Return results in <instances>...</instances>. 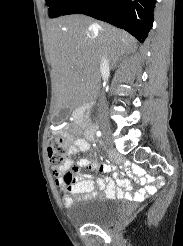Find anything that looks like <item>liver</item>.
<instances>
[{"label":"liver","mask_w":183,"mask_h":246,"mask_svg":"<svg viewBox=\"0 0 183 246\" xmlns=\"http://www.w3.org/2000/svg\"><path fill=\"white\" fill-rule=\"evenodd\" d=\"M136 47V40L126 31L84 15L50 21L48 50L57 109L76 107L99 84L103 53L113 66Z\"/></svg>","instance_id":"6515ba94"}]
</instances>
